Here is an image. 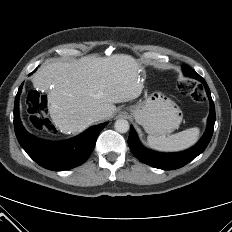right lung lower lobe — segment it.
Masks as SVG:
<instances>
[{
	"instance_id": "98d812e1",
	"label": "right lung lower lobe",
	"mask_w": 232,
	"mask_h": 232,
	"mask_svg": "<svg viewBox=\"0 0 232 232\" xmlns=\"http://www.w3.org/2000/svg\"><path fill=\"white\" fill-rule=\"evenodd\" d=\"M20 86L15 98L14 128L16 137L27 154L40 166L49 170H67L84 163L91 154L97 137L106 123L91 127L82 134L65 141L50 142L36 138L23 127L19 118Z\"/></svg>"
}]
</instances>
